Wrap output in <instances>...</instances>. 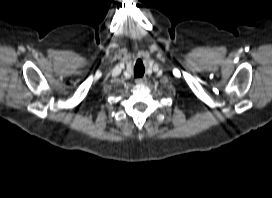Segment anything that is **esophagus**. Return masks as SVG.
<instances>
[{
    "label": "esophagus",
    "instance_id": "esophagus-1",
    "mask_svg": "<svg viewBox=\"0 0 272 198\" xmlns=\"http://www.w3.org/2000/svg\"><path fill=\"white\" fill-rule=\"evenodd\" d=\"M142 82H143L142 79H139V80L136 81V83H138V84H139V83H142Z\"/></svg>",
    "mask_w": 272,
    "mask_h": 198
}]
</instances>
